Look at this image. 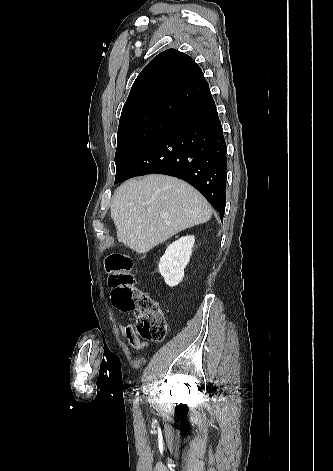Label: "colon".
I'll list each match as a JSON object with an SVG mask.
<instances>
[{
  "label": "colon",
  "instance_id": "1",
  "mask_svg": "<svg viewBox=\"0 0 333 471\" xmlns=\"http://www.w3.org/2000/svg\"><path fill=\"white\" fill-rule=\"evenodd\" d=\"M105 267L113 305L121 311L136 312V329L142 337L162 341L167 332L166 319L158 302L137 288L131 258L125 253H112L106 257Z\"/></svg>",
  "mask_w": 333,
  "mask_h": 471
}]
</instances>
